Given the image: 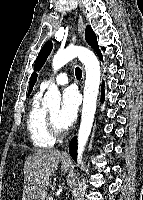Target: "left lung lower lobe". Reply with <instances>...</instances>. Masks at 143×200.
Wrapping results in <instances>:
<instances>
[{"mask_svg":"<svg viewBox=\"0 0 143 200\" xmlns=\"http://www.w3.org/2000/svg\"><path fill=\"white\" fill-rule=\"evenodd\" d=\"M96 53L98 54L99 58L101 61H103L102 59V55H101V52L99 50V48L96 50ZM102 97H101V102L104 101V86L102 87ZM76 150H77V138L74 137L72 140H71V143L69 145V153L70 155L72 156V158L75 160V155H76Z\"/></svg>","mask_w":143,"mask_h":200,"instance_id":"obj_1","label":"left lung lower lobe"}]
</instances>
